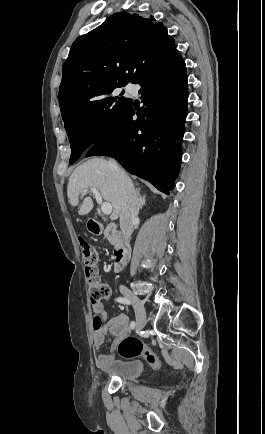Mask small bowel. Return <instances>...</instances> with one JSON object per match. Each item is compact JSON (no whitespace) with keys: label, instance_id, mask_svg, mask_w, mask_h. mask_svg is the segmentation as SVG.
<instances>
[{"label":"small bowel","instance_id":"1","mask_svg":"<svg viewBox=\"0 0 265 434\" xmlns=\"http://www.w3.org/2000/svg\"><path fill=\"white\" fill-rule=\"evenodd\" d=\"M94 315L100 316L105 320L102 327L95 331L92 335V342L97 350H100L106 339L109 338L112 345L122 340L128 335L129 332V318L125 314H118L110 319H107V311L101 302L94 303L92 306ZM113 353V350H110ZM101 364H111V357L102 356L99 358Z\"/></svg>","mask_w":265,"mask_h":434}]
</instances>
